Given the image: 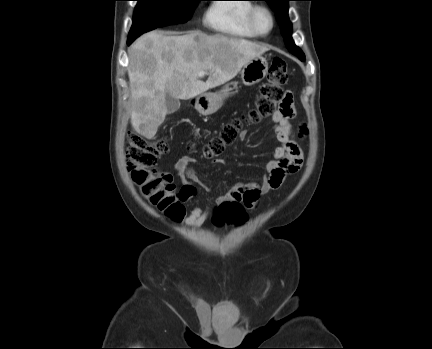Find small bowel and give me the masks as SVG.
<instances>
[{"mask_svg":"<svg viewBox=\"0 0 432 349\" xmlns=\"http://www.w3.org/2000/svg\"><path fill=\"white\" fill-rule=\"evenodd\" d=\"M295 112L291 106L289 113L275 112L272 117L273 130L279 145L273 151L272 157L266 163V174L261 183L248 182L235 185L227 194L216 198V203L222 205L225 202H239L246 208H253L257 205L260 197L281 187L288 175L297 173L303 163V152L300 148L291 119ZM307 128L302 126L298 135L302 137L307 134ZM245 132L239 136L244 139ZM196 159L189 155L181 156L174 165L176 176L182 183L180 199L183 202L191 201L197 194L196 185L203 186L196 175L193 164ZM214 163H223L222 160H214ZM211 199H208L205 206H197L185 217L186 226L199 228L206 221Z\"/></svg>","mask_w":432,"mask_h":349,"instance_id":"1","label":"small bowel"}]
</instances>
